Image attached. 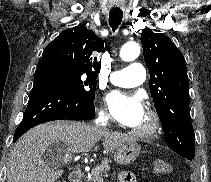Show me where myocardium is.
I'll list each match as a JSON object with an SVG mask.
<instances>
[{"label":"myocardium","instance_id":"f54148a6","mask_svg":"<svg viewBox=\"0 0 211 182\" xmlns=\"http://www.w3.org/2000/svg\"><path fill=\"white\" fill-rule=\"evenodd\" d=\"M146 114L150 120L149 126L145 129H133L131 131L133 136L142 140L153 138L161 128V118L155 110L147 109Z\"/></svg>","mask_w":211,"mask_h":182}]
</instances>
